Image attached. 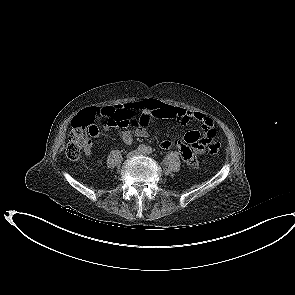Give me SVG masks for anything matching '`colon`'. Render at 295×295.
<instances>
[{
    "instance_id": "obj_1",
    "label": "colon",
    "mask_w": 295,
    "mask_h": 295,
    "mask_svg": "<svg viewBox=\"0 0 295 295\" xmlns=\"http://www.w3.org/2000/svg\"><path fill=\"white\" fill-rule=\"evenodd\" d=\"M112 109L106 107L103 109H95L82 113L74 118L69 132L68 143L66 146V155L70 160H78L82 151L91 143V139L96 136L98 128L94 122L95 118L112 119ZM129 120L125 119L119 123V126L127 127ZM207 137L208 150L210 154L219 152V144L215 140L216 131L213 128L205 129Z\"/></svg>"
}]
</instances>
